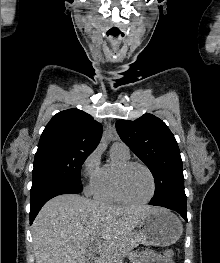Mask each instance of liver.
I'll list each match as a JSON object with an SVG mask.
<instances>
[{
    "instance_id": "6515ba94",
    "label": "liver",
    "mask_w": 220,
    "mask_h": 263,
    "mask_svg": "<svg viewBox=\"0 0 220 263\" xmlns=\"http://www.w3.org/2000/svg\"><path fill=\"white\" fill-rule=\"evenodd\" d=\"M150 206H112L77 194L49 200L32 225L36 263H86L98 238V263L118 262V249Z\"/></svg>"
}]
</instances>
